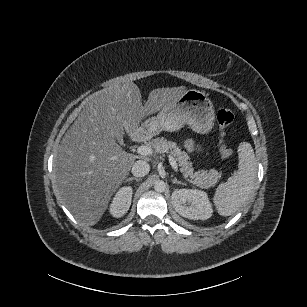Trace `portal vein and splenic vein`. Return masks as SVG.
Segmentation results:
<instances>
[{"label":"portal vein and splenic vein","instance_id":"18ae733b","mask_svg":"<svg viewBox=\"0 0 307 307\" xmlns=\"http://www.w3.org/2000/svg\"><path fill=\"white\" fill-rule=\"evenodd\" d=\"M137 153L140 154V155H143V156H147V155H151L153 153V149L150 146L142 145V146H139L137 148ZM169 162H170V165L172 166V168L175 171H177L178 166H177L176 160L174 159L173 156H169Z\"/></svg>","mask_w":307,"mask_h":307}]
</instances>
